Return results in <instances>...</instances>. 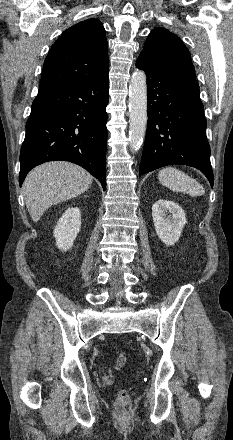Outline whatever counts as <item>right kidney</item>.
<instances>
[{
  "label": "right kidney",
  "mask_w": 233,
  "mask_h": 440,
  "mask_svg": "<svg viewBox=\"0 0 233 440\" xmlns=\"http://www.w3.org/2000/svg\"><path fill=\"white\" fill-rule=\"evenodd\" d=\"M80 227V210L77 207L68 208L58 220L53 231L56 246L62 251L69 250L73 246Z\"/></svg>",
  "instance_id": "ca27d5eb"
}]
</instances>
